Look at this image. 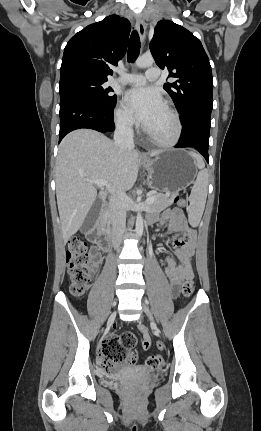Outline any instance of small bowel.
Instances as JSON below:
<instances>
[{"mask_svg":"<svg viewBox=\"0 0 261 431\" xmlns=\"http://www.w3.org/2000/svg\"><path fill=\"white\" fill-rule=\"evenodd\" d=\"M155 221V218L150 217L148 219L149 223H152ZM160 223L162 224H168L170 229L173 231H184L187 229V224L185 220V216L183 212L179 209H168L166 210L162 217L160 218ZM177 235H174L172 238H169L167 240V244H174V241L176 240ZM177 253L179 256L182 257V261L177 263L173 258L169 257L167 259V266L165 267L164 271L166 276L169 278L170 281V288L171 293L173 296H176L178 294V289L180 284L184 279L193 277L194 275V269L193 264L191 261V256L193 254V247L187 246L182 249L177 250ZM104 257L96 249H92L90 251V264L93 271H97L98 266L103 262ZM151 342L149 336L144 333V340L142 343L143 350H148L149 347H151ZM149 368H151L150 365L147 364Z\"/></svg>","mask_w":261,"mask_h":431,"instance_id":"1","label":"small bowel"}]
</instances>
